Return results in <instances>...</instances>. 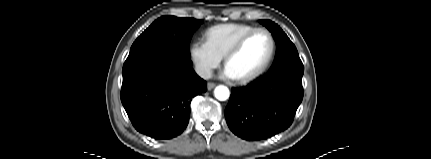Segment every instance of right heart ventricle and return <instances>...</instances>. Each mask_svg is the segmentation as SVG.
I'll use <instances>...</instances> for the list:
<instances>
[{"instance_id":"right-heart-ventricle-1","label":"right heart ventricle","mask_w":431,"mask_h":159,"mask_svg":"<svg viewBox=\"0 0 431 159\" xmlns=\"http://www.w3.org/2000/svg\"><path fill=\"white\" fill-rule=\"evenodd\" d=\"M255 27L241 23H225L210 27L205 37L213 50L222 58L231 47L246 33Z\"/></svg>"}]
</instances>
